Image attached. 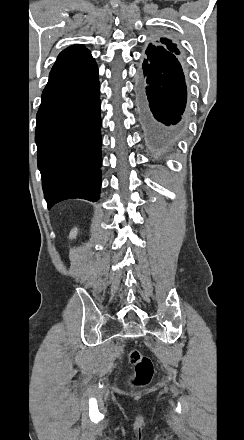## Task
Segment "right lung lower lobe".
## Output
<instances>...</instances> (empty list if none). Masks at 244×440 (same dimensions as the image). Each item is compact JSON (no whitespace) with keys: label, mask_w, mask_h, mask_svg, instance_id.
<instances>
[{"label":"right lung lower lobe","mask_w":244,"mask_h":440,"mask_svg":"<svg viewBox=\"0 0 244 440\" xmlns=\"http://www.w3.org/2000/svg\"><path fill=\"white\" fill-rule=\"evenodd\" d=\"M100 129L96 63L51 70L42 93L35 133L38 168L48 208L66 199H99Z\"/></svg>","instance_id":"right-lung-lower-lobe-1"}]
</instances>
